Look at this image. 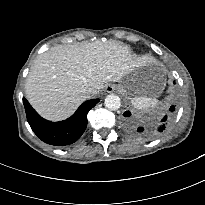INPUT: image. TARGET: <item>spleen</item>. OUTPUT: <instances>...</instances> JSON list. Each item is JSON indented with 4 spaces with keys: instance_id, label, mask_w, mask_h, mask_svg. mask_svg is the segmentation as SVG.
Masks as SVG:
<instances>
[{
    "instance_id": "3e777b00",
    "label": "spleen",
    "mask_w": 205,
    "mask_h": 205,
    "mask_svg": "<svg viewBox=\"0 0 205 205\" xmlns=\"http://www.w3.org/2000/svg\"><path fill=\"white\" fill-rule=\"evenodd\" d=\"M156 99H152L149 97H135L132 100V104L134 107L138 109L147 108L150 106H155L157 104Z\"/></svg>"
}]
</instances>
